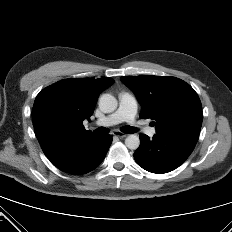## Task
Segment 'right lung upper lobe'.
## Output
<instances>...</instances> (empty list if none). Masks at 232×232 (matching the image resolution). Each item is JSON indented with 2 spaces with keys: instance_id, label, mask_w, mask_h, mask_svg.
I'll return each mask as SVG.
<instances>
[{
  "instance_id": "obj_1",
  "label": "right lung upper lobe",
  "mask_w": 232,
  "mask_h": 232,
  "mask_svg": "<svg viewBox=\"0 0 232 232\" xmlns=\"http://www.w3.org/2000/svg\"><path fill=\"white\" fill-rule=\"evenodd\" d=\"M111 78L66 79L43 89L33 106V124L44 154L94 136L82 122L94 112L99 94L111 86Z\"/></svg>"
}]
</instances>
